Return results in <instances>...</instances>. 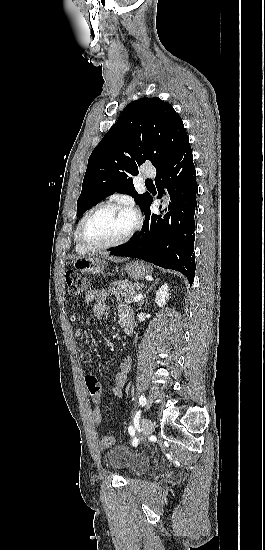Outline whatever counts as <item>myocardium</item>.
<instances>
[{
    "label": "myocardium",
    "instance_id": "obj_1",
    "mask_svg": "<svg viewBox=\"0 0 265 550\" xmlns=\"http://www.w3.org/2000/svg\"><path fill=\"white\" fill-rule=\"evenodd\" d=\"M107 208H115L120 209L129 212L134 217V224L131 227V229L120 239L106 243V244H94L88 242L84 236H83V228L89 217L94 214L97 211L107 209ZM141 226V219L138 213L128 204L120 201H108L101 204L96 205L95 207L88 210L85 215L81 218L79 221L77 228H76V237L80 245L87 249V250H104V249H110L113 247L120 246L126 242H128L135 233L139 230Z\"/></svg>",
    "mask_w": 265,
    "mask_h": 550
}]
</instances>
